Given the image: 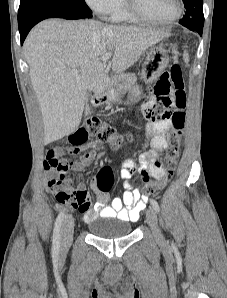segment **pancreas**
Here are the masks:
<instances>
[{
	"label": "pancreas",
	"mask_w": 227,
	"mask_h": 298,
	"mask_svg": "<svg viewBox=\"0 0 227 298\" xmlns=\"http://www.w3.org/2000/svg\"><path fill=\"white\" fill-rule=\"evenodd\" d=\"M137 77L134 73H119L115 75L109 85L108 95L122 94L135 85Z\"/></svg>",
	"instance_id": "pancreas-1"
}]
</instances>
